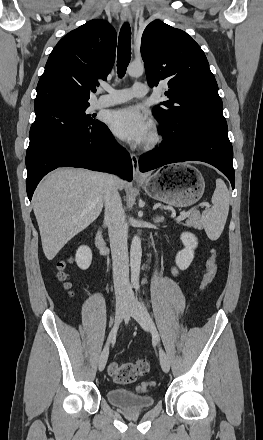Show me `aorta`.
<instances>
[{
	"label": "aorta",
	"instance_id": "aorta-1",
	"mask_svg": "<svg viewBox=\"0 0 263 440\" xmlns=\"http://www.w3.org/2000/svg\"><path fill=\"white\" fill-rule=\"evenodd\" d=\"M127 73L131 77H139L144 73V65L142 63H131L127 67ZM142 257L141 239L135 235L131 242L130 248V267L131 281L134 286H139L140 265Z\"/></svg>",
	"mask_w": 263,
	"mask_h": 440
}]
</instances>
